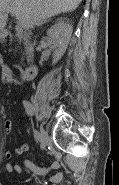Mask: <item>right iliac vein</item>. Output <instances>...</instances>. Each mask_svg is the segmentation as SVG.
<instances>
[{"mask_svg": "<svg viewBox=\"0 0 119 185\" xmlns=\"http://www.w3.org/2000/svg\"><path fill=\"white\" fill-rule=\"evenodd\" d=\"M40 137H41V140H40L41 148L42 149H45L46 148V145L48 143V135L45 132V130L42 129V128H40Z\"/></svg>", "mask_w": 119, "mask_h": 185, "instance_id": "right-iliac-vein-1", "label": "right iliac vein"}]
</instances>
